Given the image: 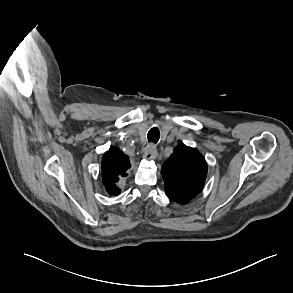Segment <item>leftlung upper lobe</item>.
<instances>
[{
	"label": "left lung upper lobe",
	"mask_w": 293,
	"mask_h": 293,
	"mask_svg": "<svg viewBox=\"0 0 293 293\" xmlns=\"http://www.w3.org/2000/svg\"><path fill=\"white\" fill-rule=\"evenodd\" d=\"M206 174L204 157L194 148L178 145L162 166L167 197L180 204L189 202L201 191Z\"/></svg>",
	"instance_id": "obj_1"
}]
</instances>
